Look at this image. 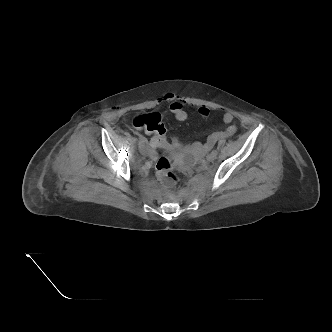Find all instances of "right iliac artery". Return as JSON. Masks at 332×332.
<instances>
[{
  "label": "right iliac artery",
  "mask_w": 332,
  "mask_h": 332,
  "mask_svg": "<svg viewBox=\"0 0 332 332\" xmlns=\"http://www.w3.org/2000/svg\"><path fill=\"white\" fill-rule=\"evenodd\" d=\"M139 141L146 142L145 138L142 135H139Z\"/></svg>",
  "instance_id": "right-iliac-artery-1"
}]
</instances>
